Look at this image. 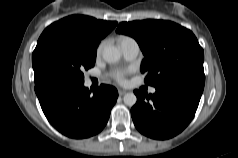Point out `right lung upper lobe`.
Listing matches in <instances>:
<instances>
[{
  "label": "right lung upper lobe",
  "mask_w": 238,
  "mask_h": 158,
  "mask_svg": "<svg viewBox=\"0 0 238 158\" xmlns=\"http://www.w3.org/2000/svg\"><path fill=\"white\" fill-rule=\"evenodd\" d=\"M116 25L115 21L97 20L84 15H71L54 22L50 27L80 33L90 41L99 44L100 40Z\"/></svg>",
  "instance_id": "1"
}]
</instances>
